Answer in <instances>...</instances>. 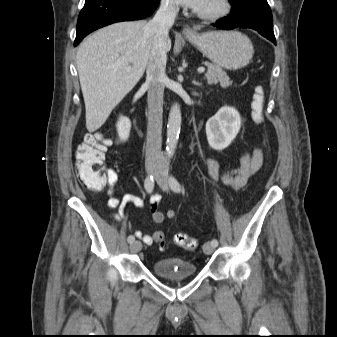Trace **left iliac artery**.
Instances as JSON below:
<instances>
[{"label":"left iliac artery","mask_w":337,"mask_h":337,"mask_svg":"<svg viewBox=\"0 0 337 337\" xmlns=\"http://www.w3.org/2000/svg\"><path fill=\"white\" fill-rule=\"evenodd\" d=\"M169 184H170V187L171 189L174 191V192H180L181 191V185L180 183L178 182V180L174 177V176H170L169 178ZM211 244L214 245L215 247L218 245V241L217 239H213L211 241Z\"/></svg>","instance_id":"1"}]
</instances>
